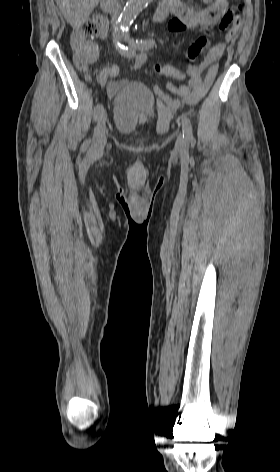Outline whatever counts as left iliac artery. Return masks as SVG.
Instances as JSON below:
<instances>
[{
    "label": "left iliac artery",
    "mask_w": 280,
    "mask_h": 472,
    "mask_svg": "<svg viewBox=\"0 0 280 472\" xmlns=\"http://www.w3.org/2000/svg\"><path fill=\"white\" fill-rule=\"evenodd\" d=\"M123 35L125 37V40L129 42V45L135 49L141 50V51H146L151 49L155 41L153 39H147V40H131L129 38V27L126 26L123 28ZM182 130H183V138H185L186 141H192L193 138V132H192V125L189 120V118L186 115L182 116Z\"/></svg>",
    "instance_id": "left-iliac-artery-1"
}]
</instances>
